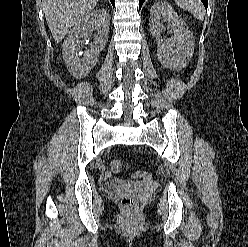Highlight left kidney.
Masks as SVG:
<instances>
[{"instance_id": "1", "label": "left kidney", "mask_w": 248, "mask_h": 247, "mask_svg": "<svg viewBox=\"0 0 248 247\" xmlns=\"http://www.w3.org/2000/svg\"><path fill=\"white\" fill-rule=\"evenodd\" d=\"M150 33L158 39L157 56L160 63L169 69L182 70L194 53V37L185 21L165 2L151 7ZM163 21H168L174 36L162 39Z\"/></svg>"}]
</instances>
